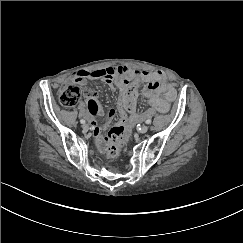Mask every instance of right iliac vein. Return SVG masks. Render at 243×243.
<instances>
[{"label": "right iliac vein", "instance_id": "63e3f726", "mask_svg": "<svg viewBox=\"0 0 243 243\" xmlns=\"http://www.w3.org/2000/svg\"><path fill=\"white\" fill-rule=\"evenodd\" d=\"M82 128H83L85 131H87V130L89 129V125L86 124V123H84V124L82 125Z\"/></svg>", "mask_w": 243, "mask_h": 243}]
</instances>
